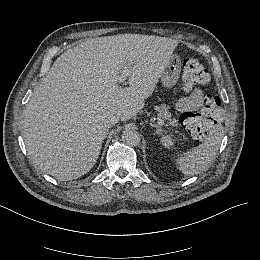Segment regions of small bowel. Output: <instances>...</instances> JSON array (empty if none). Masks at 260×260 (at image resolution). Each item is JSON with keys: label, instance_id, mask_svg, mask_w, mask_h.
Wrapping results in <instances>:
<instances>
[{"label": "small bowel", "instance_id": "obj_1", "mask_svg": "<svg viewBox=\"0 0 260 260\" xmlns=\"http://www.w3.org/2000/svg\"><path fill=\"white\" fill-rule=\"evenodd\" d=\"M207 98L201 89L194 88L188 91L186 96L178 99L175 107L179 112L194 111L203 107L206 110Z\"/></svg>", "mask_w": 260, "mask_h": 260}]
</instances>
